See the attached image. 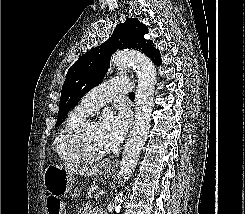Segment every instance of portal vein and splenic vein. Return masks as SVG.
Here are the masks:
<instances>
[{
    "instance_id": "portal-vein-and-splenic-vein-1",
    "label": "portal vein and splenic vein",
    "mask_w": 245,
    "mask_h": 214,
    "mask_svg": "<svg viewBox=\"0 0 245 214\" xmlns=\"http://www.w3.org/2000/svg\"><path fill=\"white\" fill-rule=\"evenodd\" d=\"M104 194H105L104 191H100V192H99V195H101V196L104 195Z\"/></svg>"
}]
</instances>
